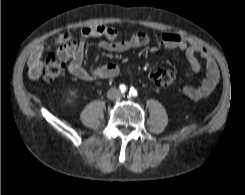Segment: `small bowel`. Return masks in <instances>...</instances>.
<instances>
[{
  "mask_svg": "<svg viewBox=\"0 0 245 195\" xmlns=\"http://www.w3.org/2000/svg\"><path fill=\"white\" fill-rule=\"evenodd\" d=\"M81 34L85 38L104 37L105 40L100 43V46L110 52H123L144 47L149 43V37L144 32L135 33L125 40H118V30L106 25L85 26L81 29ZM161 40L165 48L184 52L189 68L193 72H198L201 69V63L197 56L204 61L206 77L196 87H185L182 93L191 100L207 97L216 87L220 77L218 65L210 51L202 44L180 34L165 33ZM54 46L57 48L58 57L63 61H69L70 73L79 79L86 81L107 79L115 77L120 72V67L113 63L86 69L83 66L86 43L84 40H76L69 33L58 36ZM43 53L44 45L40 44L29 57L28 68L31 79H37L41 74Z\"/></svg>",
  "mask_w": 245,
  "mask_h": 195,
  "instance_id": "c3829d8e",
  "label": "small bowel"
}]
</instances>
